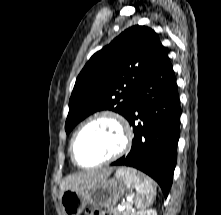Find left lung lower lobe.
<instances>
[{
    "label": "left lung lower lobe",
    "mask_w": 221,
    "mask_h": 215,
    "mask_svg": "<svg viewBox=\"0 0 221 215\" xmlns=\"http://www.w3.org/2000/svg\"><path fill=\"white\" fill-rule=\"evenodd\" d=\"M180 115L176 78L162 46L129 104L126 119L134 132L131 151L111 165L141 170L160 185L166 198L176 166Z\"/></svg>",
    "instance_id": "0a47b994"
}]
</instances>
